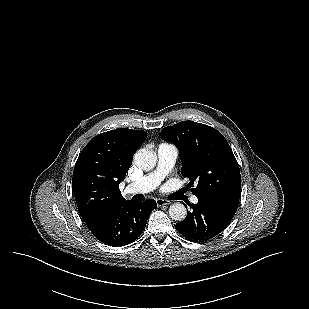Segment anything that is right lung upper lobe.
<instances>
[{"label": "right lung upper lobe", "mask_w": 309, "mask_h": 309, "mask_svg": "<svg viewBox=\"0 0 309 309\" xmlns=\"http://www.w3.org/2000/svg\"><path fill=\"white\" fill-rule=\"evenodd\" d=\"M146 137L147 133L142 130L117 128L94 137L80 153L72 188L88 228L98 224L110 210L127 202L119 184Z\"/></svg>", "instance_id": "cb5924a9"}]
</instances>
